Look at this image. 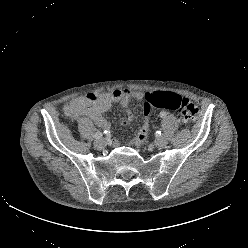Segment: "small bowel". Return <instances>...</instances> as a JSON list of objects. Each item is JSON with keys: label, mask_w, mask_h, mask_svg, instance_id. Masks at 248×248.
<instances>
[{"label": "small bowel", "mask_w": 248, "mask_h": 248, "mask_svg": "<svg viewBox=\"0 0 248 248\" xmlns=\"http://www.w3.org/2000/svg\"><path fill=\"white\" fill-rule=\"evenodd\" d=\"M144 94L140 91L129 89H117L104 93H88L84 96L77 97L69 101L64 106L66 116L76 119L80 116H86L92 119L98 126L105 130H109L110 123L102 115L110 106L118 102L122 107L126 108L133 100H142ZM126 120L124 124H129L133 120V114L129 110H125ZM114 146L119 145V141H112Z\"/></svg>", "instance_id": "obj_1"}]
</instances>
